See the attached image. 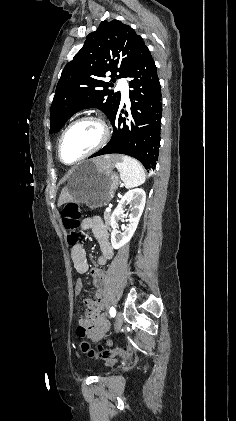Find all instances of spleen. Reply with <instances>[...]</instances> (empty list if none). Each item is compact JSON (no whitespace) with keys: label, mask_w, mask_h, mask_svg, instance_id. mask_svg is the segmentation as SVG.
<instances>
[{"label":"spleen","mask_w":236,"mask_h":421,"mask_svg":"<svg viewBox=\"0 0 236 421\" xmlns=\"http://www.w3.org/2000/svg\"><path fill=\"white\" fill-rule=\"evenodd\" d=\"M115 166L118 168L126 188H133V186H139L145 182L144 168L136 158L120 156V160H117Z\"/></svg>","instance_id":"3e777b00"}]
</instances>
